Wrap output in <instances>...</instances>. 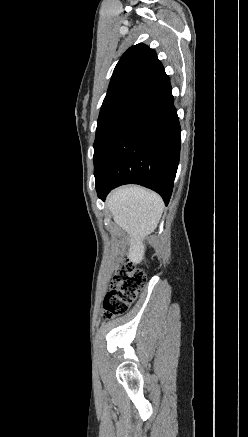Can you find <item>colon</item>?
<instances>
[{
    "label": "colon",
    "instance_id": "obj_1",
    "mask_svg": "<svg viewBox=\"0 0 248 437\" xmlns=\"http://www.w3.org/2000/svg\"><path fill=\"white\" fill-rule=\"evenodd\" d=\"M145 275L131 263H121L112 278L110 290L104 299V317L111 319L125 313L143 290Z\"/></svg>",
    "mask_w": 248,
    "mask_h": 437
}]
</instances>
